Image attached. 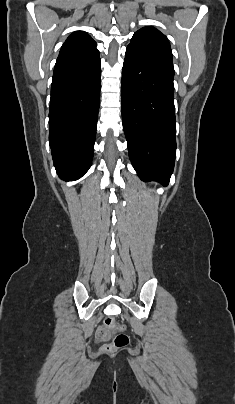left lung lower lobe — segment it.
Listing matches in <instances>:
<instances>
[{
  "label": "left lung lower lobe",
  "mask_w": 235,
  "mask_h": 404,
  "mask_svg": "<svg viewBox=\"0 0 235 404\" xmlns=\"http://www.w3.org/2000/svg\"><path fill=\"white\" fill-rule=\"evenodd\" d=\"M173 63L127 47L122 70L123 130L143 181L167 185L176 156Z\"/></svg>",
  "instance_id": "obj_1"
}]
</instances>
